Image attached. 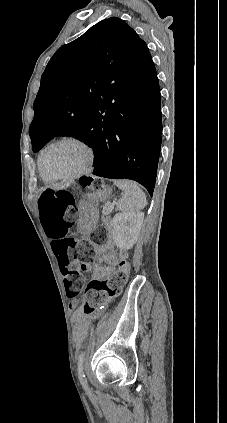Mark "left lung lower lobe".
<instances>
[{
    "instance_id": "left-lung-lower-lobe-1",
    "label": "left lung lower lobe",
    "mask_w": 227,
    "mask_h": 423,
    "mask_svg": "<svg viewBox=\"0 0 227 423\" xmlns=\"http://www.w3.org/2000/svg\"><path fill=\"white\" fill-rule=\"evenodd\" d=\"M161 135V96L155 74L137 111L106 112L97 131L83 140L95 152V175L137 181L152 196Z\"/></svg>"
}]
</instances>
